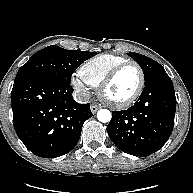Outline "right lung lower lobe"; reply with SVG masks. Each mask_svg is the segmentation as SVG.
Returning a JSON list of instances; mask_svg holds the SVG:
<instances>
[{"mask_svg": "<svg viewBox=\"0 0 193 193\" xmlns=\"http://www.w3.org/2000/svg\"><path fill=\"white\" fill-rule=\"evenodd\" d=\"M70 84L46 77L14 82L11 92L13 124L18 137L35 155L62 156L77 144L90 104L72 97Z\"/></svg>", "mask_w": 193, "mask_h": 193, "instance_id": "98d812e1", "label": "right lung lower lobe"}]
</instances>
